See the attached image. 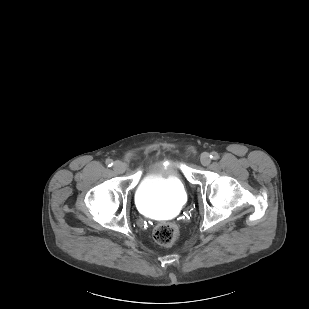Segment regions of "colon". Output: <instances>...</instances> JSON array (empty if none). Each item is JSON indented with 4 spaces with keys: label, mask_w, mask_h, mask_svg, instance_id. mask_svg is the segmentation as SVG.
Instances as JSON below:
<instances>
[{
    "label": "colon",
    "mask_w": 309,
    "mask_h": 309,
    "mask_svg": "<svg viewBox=\"0 0 309 309\" xmlns=\"http://www.w3.org/2000/svg\"><path fill=\"white\" fill-rule=\"evenodd\" d=\"M153 237L158 244L170 246L178 238V228L172 222L158 224L154 229Z\"/></svg>",
    "instance_id": "5ec220e1"
}]
</instances>
